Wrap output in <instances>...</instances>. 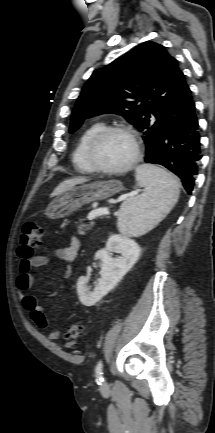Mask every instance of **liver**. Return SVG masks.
Returning <instances> with one entry per match:
<instances>
[{"label": "liver", "instance_id": "obj_1", "mask_svg": "<svg viewBox=\"0 0 215 433\" xmlns=\"http://www.w3.org/2000/svg\"><path fill=\"white\" fill-rule=\"evenodd\" d=\"M87 181H89V179L85 177H77V178L65 180L55 188V190L51 194V197L59 196L62 193L66 192L67 190L73 188L75 185L83 184Z\"/></svg>", "mask_w": 215, "mask_h": 433}]
</instances>
